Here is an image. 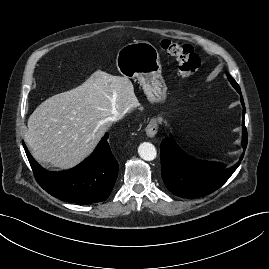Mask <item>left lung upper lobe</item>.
I'll return each instance as SVG.
<instances>
[{
	"label": "left lung upper lobe",
	"mask_w": 269,
	"mask_h": 269,
	"mask_svg": "<svg viewBox=\"0 0 269 269\" xmlns=\"http://www.w3.org/2000/svg\"><path fill=\"white\" fill-rule=\"evenodd\" d=\"M228 79H229L230 83L233 85V87L236 90L240 89L239 85L237 84V82L234 80L233 77H231L230 75H228Z\"/></svg>",
	"instance_id": "1"
}]
</instances>
